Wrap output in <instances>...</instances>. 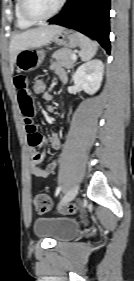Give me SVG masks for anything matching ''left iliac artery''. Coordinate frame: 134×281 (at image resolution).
Returning a JSON list of instances; mask_svg holds the SVG:
<instances>
[{"instance_id": "obj_1", "label": "left iliac artery", "mask_w": 134, "mask_h": 281, "mask_svg": "<svg viewBox=\"0 0 134 281\" xmlns=\"http://www.w3.org/2000/svg\"><path fill=\"white\" fill-rule=\"evenodd\" d=\"M62 187L59 186L57 189H56V192H55V196H58V194L60 193Z\"/></svg>"}]
</instances>
